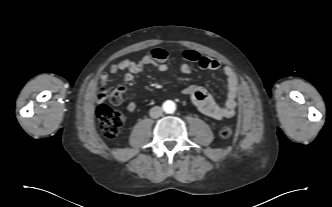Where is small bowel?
<instances>
[{
	"label": "small bowel",
	"mask_w": 332,
	"mask_h": 207,
	"mask_svg": "<svg viewBox=\"0 0 332 207\" xmlns=\"http://www.w3.org/2000/svg\"><path fill=\"white\" fill-rule=\"evenodd\" d=\"M181 58L185 63L180 66L179 70L184 75L190 74L191 72L188 63H196L202 69L213 71L219 70L221 67L217 60L203 56L194 50L184 51L181 54ZM167 61L168 53L166 50L156 48L137 61L125 59L111 65L109 71L101 74V83L107 85L110 82L111 75L121 70L127 71L124 76L127 82L136 80L146 66H153L160 72H167L169 69ZM223 73L228 85L226 101L223 105L216 103L210 93L201 86H188L182 89V93L191 98L193 105L200 112L219 121L231 118L235 115L236 99L239 91V81L236 72L231 67L225 66ZM115 92L121 97L125 92V87L119 86ZM127 109L130 112H134L136 110L135 103H128Z\"/></svg>",
	"instance_id": "small-bowel-1"
}]
</instances>
